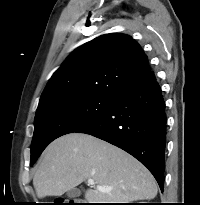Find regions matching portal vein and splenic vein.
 Instances as JSON below:
<instances>
[{"mask_svg": "<svg viewBox=\"0 0 200 205\" xmlns=\"http://www.w3.org/2000/svg\"><path fill=\"white\" fill-rule=\"evenodd\" d=\"M87 183H88V185H91V186L95 185V182H94L93 179H88ZM96 188L100 191H109V190H111L110 187H105V186H102V185H97Z\"/></svg>", "mask_w": 200, "mask_h": 205, "instance_id": "portal-vein-and-splenic-vein-1", "label": "portal vein and splenic vein"}]
</instances>
